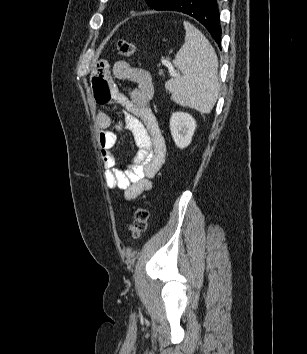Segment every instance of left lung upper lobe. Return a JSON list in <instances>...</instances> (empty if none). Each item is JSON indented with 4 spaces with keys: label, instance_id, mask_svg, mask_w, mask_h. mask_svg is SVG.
I'll use <instances>...</instances> for the list:
<instances>
[{
    "label": "left lung upper lobe",
    "instance_id": "5c2ea615",
    "mask_svg": "<svg viewBox=\"0 0 307 354\" xmlns=\"http://www.w3.org/2000/svg\"><path fill=\"white\" fill-rule=\"evenodd\" d=\"M146 2L151 8L159 10L165 4H167L169 0H146Z\"/></svg>",
    "mask_w": 307,
    "mask_h": 354
}]
</instances>
